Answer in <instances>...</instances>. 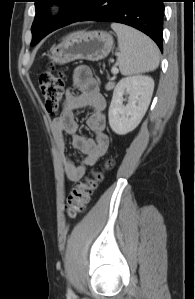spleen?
<instances>
[{"label": "spleen", "mask_w": 195, "mask_h": 299, "mask_svg": "<svg viewBox=\"0 0 195 299\" xmlns=\"http://www.w3.org/2000/svg\"><path fill=\"white\" fill-rule=\"evenodd\" d=\"M111 28L118 37L117 61L122 75H133L155 70L159 65V49L145 34L120 23Z\"/></svg>", "instance_id": "obj_1"}]
</instances>
